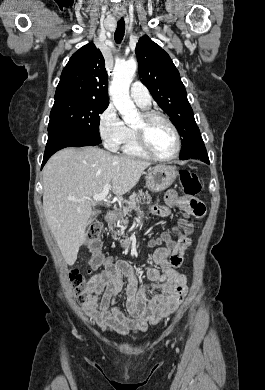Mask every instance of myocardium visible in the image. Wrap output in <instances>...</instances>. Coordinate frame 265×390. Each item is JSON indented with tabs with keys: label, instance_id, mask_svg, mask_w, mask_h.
<instances>
[{
	"label": "myocardium",
	"instance_id": "f54148a6",
	"mask_svg": "<svg viewBox=\"0 0 265 390\" xmlns=\"http://www.w3.org/2000/svg\"><path fill=\"white\" fill-rule=\"evenodd\" d=\"M141 117H142V124L140 126L134 127V131L136 134L138 144L140 148L143 150V152L150 158L161 162H170L176 159L181 150V137L175 124L167 116L157 111H145L142 113ZM155 120H161L164 123H166L174 134L175 149L170 156L167 157L159 156L152 150V148L148 143L146 128L151 122Z\"/></svg>",
	"mask_w": 265,
	"mask_h": 390
}]
</instances>
